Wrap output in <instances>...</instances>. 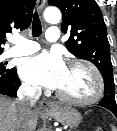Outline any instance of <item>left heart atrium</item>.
<instances>
[{"instance_id":"left-heart-atrium-1","label":"left heart atrium","mask_w":117,"mask_h":131,"mask_svg":"<svg viewBox=\"0 0 117 131\" xmlns=\"http://www.w3.org/2000/svg\"><path fill=\"white\" fill-rule=\"evenodd\" d=\"M66 70L61 55L56 52H45L26 58L19 66V73L25 81L51 89L61 86Z\"/></svg>"}]
</instances>
